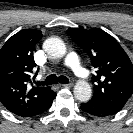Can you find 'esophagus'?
<instances>
[{
    "instance_id": "34e87169",
    "label": "esophagus",
    "mask_w": 133,
    "mask_h": 133,
    "mask_svg": "<svg viewBox=\"0 0 133 133\" xmlns=\"http://www.w3.org/2000/svg\"><path fill=\"white\" fill-rule=\"evenodd\" d=\"M62 87L64 88H70L73 86V83H68V84H61Z\"/></svg>"
}]
</instances>
